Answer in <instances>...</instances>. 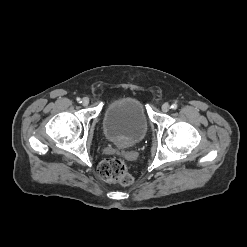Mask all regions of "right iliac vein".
Returning a JSON list of instances; mask_svg holds the SVG:
<instances>
[{"mask_svg":"<svg viewBox=\"0 0 247 247\" xmlns=\"http://www.w3.org/2000/svg\"><path fill=\"white\" fill-rule=\"evenodd\" d=\"M82 105L83 106H88L89 105V98H87V97H84L83 99H82Z\"/></svg>","mask_w":247,"mask_h":247,"instance_id":"obj_1","label":"right iliac vein"}]
</instances>
